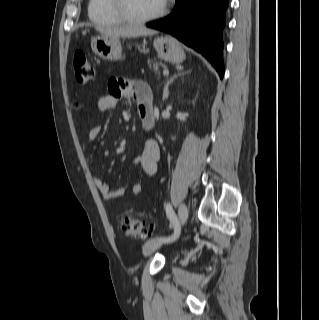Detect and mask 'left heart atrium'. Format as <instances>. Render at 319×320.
I'll return each instance as SVG.
<instances>
[{"mask_svg": "<svg viewBox=\"0 0 319 320\" xmlns=\"http://www.w3.org/2000/svg\"><path fill=\"white\" fill-rule=\"evenodd\" d=\"M162 4H165L167 0H160Z\"/></svg>", "mask_w": 319, "mask_h": 320, "instance_id": "1", "label": "left heart atrium"}]
</instances>
